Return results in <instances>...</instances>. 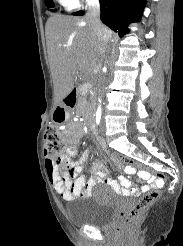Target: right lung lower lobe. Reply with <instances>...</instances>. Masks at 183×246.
<instances>
[{"instance_id":"98d812e1","label":"right lung lower lobe","mask_w":183,"mask_h":246,"mask_svg":"<svg viewBox=\"0 0 183 246\" xmlns=\"http://www.w3.org/2000/svg\"><path fill=\"white\" fill-rule=\"evenodd\" d=\"M101 21L122 37L129 32L128 25L141 19L146 0H99ZM83 11L73 13L82 16Z\"/></svg>"}]
</instances>
